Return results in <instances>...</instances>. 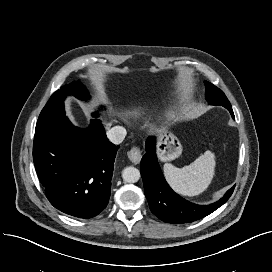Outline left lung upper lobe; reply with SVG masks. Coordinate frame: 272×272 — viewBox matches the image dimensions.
Wrapping results in <instances>:
<instances>
[{"label": "left lung upper lobe", "mask_w": 272, "mask_h": 272, "mask_svg": "<svg viewBox=\"0 0 272 272\" xmlns=\"http://www.w3.org/2000/svg\"><path fill=\"white\" fill-rule=\"evenodd\" d=\"M204 83L206 86L205 97L209 104L223 106L227 109L232 108L229 100L222 90L207 81H204Z\"/></svg>", "instance_id": "left-lung-upper-lobe-1"}]
</instances>
